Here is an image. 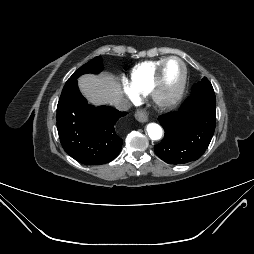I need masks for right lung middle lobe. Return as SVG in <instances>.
I'll return each instance as SVG.
<instances>
[{"instance_id":"right-lung-middle-lobe-1","label":"right lung middle lobe","mask_w":254,"mask_h":254,"mask_svg":"<svg viewBox=\"0 0 254 254\" xmlns=\"http://www.w3.org/2000/svg\"><path fill=\"white\" fill-rule=\"evenodd\" d=\"M102 70H103L102 59L100 56H98L90 60L83 66H81L79 69H77L67 81L77 79L80 75L85 73L97 74L100 73Z\"/></svg>"}]
</instances>
